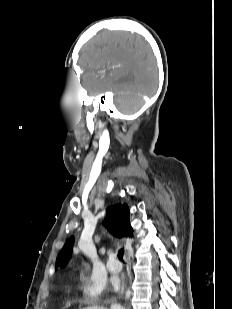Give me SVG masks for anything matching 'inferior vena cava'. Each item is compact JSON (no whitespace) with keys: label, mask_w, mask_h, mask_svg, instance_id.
I'll return each mask as SVG.
<instances>
[{"label":"inferior vena cava","mask_w":232,"mask_h":309,"mask_svg":"<svg viewBox=\"0 0 232 309\" xmlns=\"http://www.w3.org/2000/svg\"><path fill=\"white\" fill-rule=\"evenodd\" d=\"M111 309H122V308H120V307H112Z\"/></svg>","instance_id":"602c4592"}]
</instances>
